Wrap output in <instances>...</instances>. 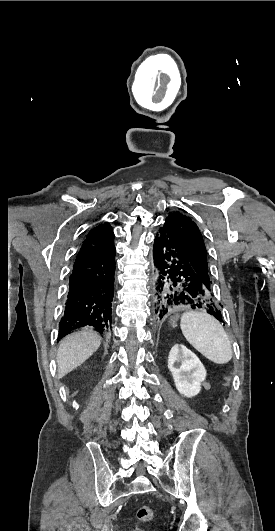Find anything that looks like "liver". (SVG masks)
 I'll list each match as a JSON object with an SVG mask.
<instances>
[{
	"instance_id": "liver-1",
	"label": "liver",
	"mask_w": 275,
	"mask_h": 531,
	"mask_svg": "<svg viewBox=\"0 0 275 531\" xmlns=\"http://www.w3.org/2000/svg\"><path fill=\"white\" fill-rule=\"evenodd\" d=\"M101 345V337L95 331L82 329L78 333L67 335L61 341L57 351L58 379L71 373L87 361Z\"/></svg>"
}]
</instances>
